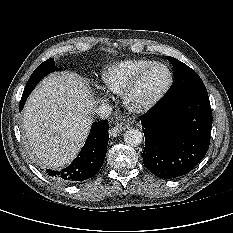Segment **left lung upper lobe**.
I'll list each match as a JSON object with an SVG mask.
<instances>
[{"mask_svg":"<svg viewBox=\"0 0 233 233\" xmlns=\"http://www.w3.org/2000/svg\"><path fill=\"white\" fill-rule=\"evenodd\" d=\"M166 58L171 62L175 74V83L169 96L184 92H207L204 83L193 69L173 57Z\"/></svg>","mask_w":233,"mask_h":233,"instance_id":"obj_1","label":"left lung upper lobe"}]
</instances>
